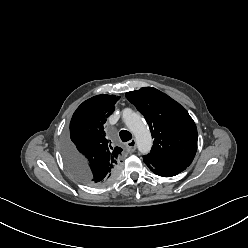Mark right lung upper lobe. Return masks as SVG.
<instances>
[{"label":"right lung upper lobe","instance_id":"cb5924a9","mask_svg":"<svg viewBox=\"0 0 248 248\" xmlns=\"http://www.w3.org/2000/svg\"><path fill=\"white\" fill-rule=\"evenodd\" d=\"M119 98L107 94L94 96L78 107L70 122L65 161H73L93 186L105 185L119 173L122 149L111 144L105 133L106 120ZM95 177H108V180L104 182Z\"/></svg>","mask_w":248,"mask_h":248}]
</instances>
